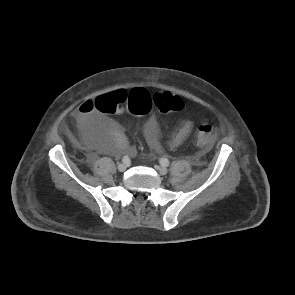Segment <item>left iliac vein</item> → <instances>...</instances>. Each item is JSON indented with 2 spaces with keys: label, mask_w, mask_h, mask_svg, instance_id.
Returning <instances> with one entry per match:
<instances>
[{
  "label": "left iliac vein",
  "mask_w": 295,
  "mask_h": 295,
  "mask_svg": "<svg viewBox=\"0 0 295 295\" xmlns=\"http://www.w3.org/2000/svg\"><path fill=\"white\" fill-rule=\"evenodd\" d=\"M155 169L157 170V172L160 174V175H166L168 173V170L166 167H163V166H155Z\"/></svg>",
  "instance_id": "left-iliac-vein-1"
}]
</instances>
